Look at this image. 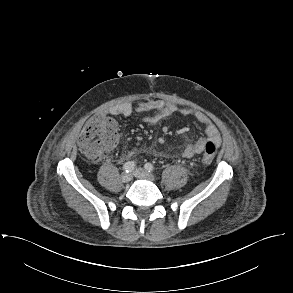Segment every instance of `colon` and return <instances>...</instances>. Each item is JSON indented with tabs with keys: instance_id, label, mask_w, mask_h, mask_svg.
Wrapping results in <instances>:
<instances>
[{
	"instance_id": "colon-1",
	"label": "colon",
	"mask_w": 293,
	"mask_h": 293,
	"mask_svg": "<svg viewBox=\"0 0 293 293\" xmlns=\"http://www.w3.org/2000/svg\"><path fill=\"white\" fill-rule=\"evenodd\" d=\"M118 139L117 125L115 121L104 115L91 117L79 138V149L88 158L97 160L102 152L114 146ZM217 145L208 142L202 156V162L209 164L215 158Z\"/></svg>"
}]
</instances>
